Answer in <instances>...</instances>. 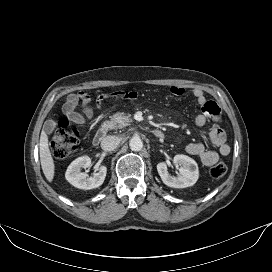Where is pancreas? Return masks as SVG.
Here are the masks:
<instances>
[{
	"instance_id": "pancreas-1",
	"label": "pancreas",
	"mask_w": 272,
	"mask_h": 272,
	"mask_svg": "<svg viewBox=\"0 0 272 272\" xmlns=\"http://www.w3.org/2000/svg\"><path fill=\"white\" fill-rule=\"evenodd\" d=\"M132 122L133 120L130 116H127L124 113L117 112L112 116L110 120V127L112 129H122L126 126H129Z\"/></svg>"
}]
</instances>
